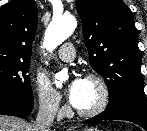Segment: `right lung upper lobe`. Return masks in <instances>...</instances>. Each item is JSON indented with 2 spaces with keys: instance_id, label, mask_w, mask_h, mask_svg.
Returning <instances> with one entry per match:
<instances>
[{
  "instance_id": "right-lung-upper-lobe-1",
  "label": "right lung upper lobe",
  "mask_w": 147,
  "mask_h": 131,
  "mask_svg": "<svg viewBox=\"0 0 147 131\" xmlns=\"http://www.w3.org/2000/svg\"><path fill=\"white\" fill-rule=\"evenodd\" d=\"M37 19L35 0H13L0 8V59L30 61Z\"/></svg>"
}]
</instances>
